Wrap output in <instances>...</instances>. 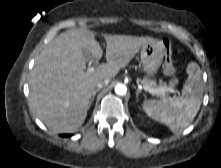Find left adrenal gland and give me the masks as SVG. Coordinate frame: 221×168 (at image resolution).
<instances>
[{
  "mask_svg": "<svg viewBox=\"0 0 221 168\" xmlns=\"http://www.w3.org/2000/svg\"><path fill=\"white\" fill-rule=\"evenodd\" d=\"M134 88L136 89V97H138V95L141 93V90L137 89L135 86Z\"/></svg>",
  "mask_w": 221,
  "mask_h": 168,
  "instance_id": "a2214340",
  "label": "left adrenal gland"
}]
</instances>
